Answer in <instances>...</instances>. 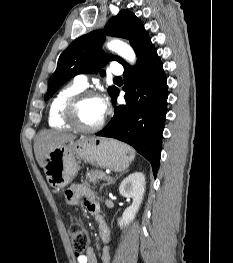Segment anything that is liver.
I'll list each match as a JSON object with an SVG mask.
<instances>
[{
	"instance_id": "obj_1",
	"label": "liver",
	"mask_w": 233,
	"mask_h": 263,
	"mask_svg": "<svg viewBox=\"0 0 233 263\" xmlns=\"http://www.w3.org/2000/svg\"><path fill=\"white\" fill-rule=\"evenodd\" d=\"M74 139H76L75 135L61 131H40L34 140V152L39 166L44 167L45 158L51 150Z\"/></svg>"
}]
</instances>
